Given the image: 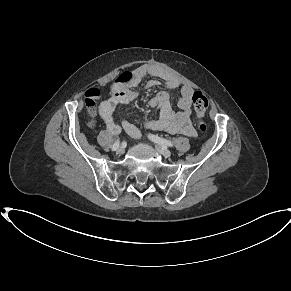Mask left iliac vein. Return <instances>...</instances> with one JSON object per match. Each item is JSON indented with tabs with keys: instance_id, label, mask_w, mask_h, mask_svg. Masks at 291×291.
Instances as JSON below:
<instances>
[{
	"instance_id": "4c4485c4",
	"label": "left iliac vein",
	"mask_w": 291,
	"mask_h": 291,
	"mask_svg": "<svg viewBox=\"0 0 291 291\" xmlns=\"http://www.w3.org/2000/svg\"><path fill=\"white\" fill-rule=\"evenodd\" d=\"M155 148L164 157L169 158L171 156V152L167 148H165L161 145H156Z\"/></svg>"
}]
</instances>
